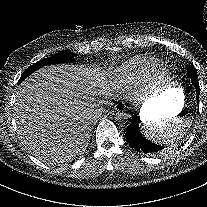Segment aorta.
I'll list each match as a JSON object with an SVG mask.
<instances>
[{
  "mask_svg": "<svg viewBox=\"0 0 207 207\" xmlns=\"http://www.w3.org/2000/svg\"><path fill=\"white\" fill-rule=\"evenodd\" d=\"M114 119L118 124H126L131 119V114L127 112L125 109H119L114 114Z\"/></svg>",
  "mask_w": 207,
  "mask_h": 207,
  "instance_id": "obj_1",
  "label": "aorta"
}]
</instances>
